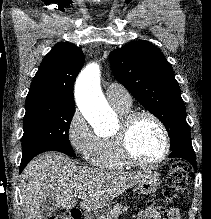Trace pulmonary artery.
<instances>
[{
  "instance_id": "1",
  "label": "pulmonary artery",
  "mask_w": 211,
  "mask_h": 219,
  "mask_svg": "<svg viewBox=\"0 0 211 219\" xmlns=\"http://www.w3.org/2000/svg\"><path fill=\"white\" fill-rule=\"evenodd\" d=\"M106 97L112 106L129 107L132 98L128 91L118 83H111L106 87Z\"/></svg>"
}]
</instances>
